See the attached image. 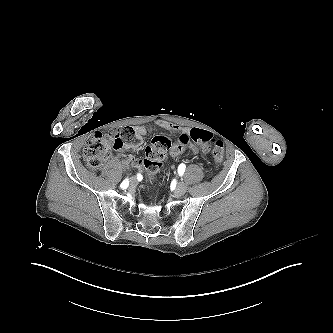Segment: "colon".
<instances>
[{
    "label": "colon",
    "instance_id": "obj_1",
    "mask_svg": "<svg viewBox=\"0 0 333 333\" xmlns=\"http://www.w3.org/2000/svg\"><path fill=\"white\" fill-rule=\"evenodd\" d=\"M132 138V131L124 129L121 132L118 130L100 131L94 133L87 141L84 147L85 158L91 168H98L103 161L108 157L112 148L117 149V146L122 144V139L125 141ZM193 140V144L197 149L211 155L216 162L222 163L224 157L223 144L216 139L214 131H200L192 126L185 128V134L178 137L176 144H173L174 138L169 134L154 136L146 147V158L142 165L149 173V181H154L156 175L163 168V161L167 151L178 153L184 151L187 143Z\"/></svg>",
    "mask_w": 333,
    "mask_h": 333
}]
</instances>
